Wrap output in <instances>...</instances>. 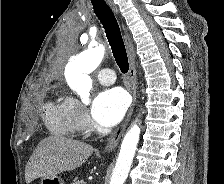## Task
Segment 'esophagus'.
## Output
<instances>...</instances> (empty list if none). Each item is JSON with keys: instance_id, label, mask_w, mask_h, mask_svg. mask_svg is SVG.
I'll list each match as a JSON object with an SVG mask.
<instances>
[{"instance_id": "34e87169", "label": "esophagus", "mask_w": 224, "mask_h": 184, "mask_svg": "<svg viewBox=\"0 0 224 184\" xmlns=\"http://www.w3.org/2000/svg\"><path fill=\"white\" fill-rule=\"evenodd\" d=\"M109 5L113 9V11L118 14V9L115 6L111 0H108ZM122 30L124 32V41L127 49L128 59H129V91L132 94V104L129 108V111L122 122V124L114 131V133L111 135L106 147L104 148V153L112 151L119 143L121 137L124 134V131L131 119L135 104H136V92H137V78H136V68H135V51L133 47L132 40L130 38V35L128 33L127 28L122 23Z\"/></svg>"}]
</instances>
